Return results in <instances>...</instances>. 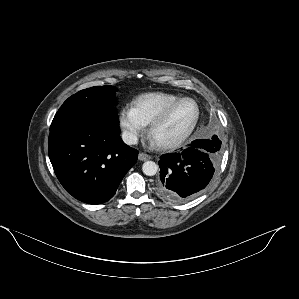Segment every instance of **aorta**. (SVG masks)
Segmentation results:
<instances>
[{"label": "aorta", "instance_id": "1", "mask_svg": "<svg viewBox=\"0 0 299 299\" xmlns=\"http://www.w3.org/2000/svg\"><path fill=\"white\" fill-rule=\"evenodd\" d=\"M142 171L147 176H154L158 171V166L153 161H146L142 166Z\"/></svg>", "mask_w": 299, "mask_h": 299}]
</instances>
